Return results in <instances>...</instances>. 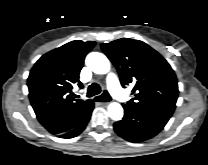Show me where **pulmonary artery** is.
Returning <instances> with one entry per match:
<instances>
[{"instance_id": "e3ab8cb5", "label": "pulmonary artery", "mask_w": 208, "mask_h": 165, "mask_svg": "<svg viewBox=\"0 0 208 165\" xmlns=\"http://www.w3.org/2000/svg\"><path fill=\"white\" fill-rule=\"evenodd\" d=\"M106 82L113 96H115L120 101H125L127 99L125 91L120 86L118 78L114 73H110L107 76Z\"/></svg>"}]
</instances>
